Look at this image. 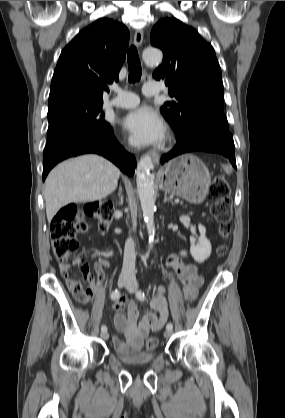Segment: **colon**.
I'll list each match as a JSON object with an SVG mask.
<instances>
[{
  "instance_id": "obj_1",
  "label": "colon",
  "mask_w": 285,
  "mask_h": 418,
  "mask_svg": "<svg viewBox=\"0 0 285 418\" xmlns=\"http://www.w3.org/2000/svg\"><path fill=\"white\" fill-rule=\"evenodd\" d=\"M209 197L212 200L210 213L215 221L219 223L218 233L221 239L228 236L230 232L229 220L232 215L230 204V192L225 176L218 174L209 187ZM86 218H93L100 222V229L106 231L112 221L111 208L98 201L86 202L84 204H67L63 206L52 218L50 224V237L52 240L53 254L62 264V272L66 271L70 259L79 250L77 235L87 229ZM226 245L221 241L215 254L218 257L225 256ZM95 267H101V263L94 262ZM72 292L78 302H88L90 293L87 287L74 280ZM190 298L189 300H193ZM156 337H149L145 342V349L152 351L157 347Z\"/></svg>"
}]
</instances>
